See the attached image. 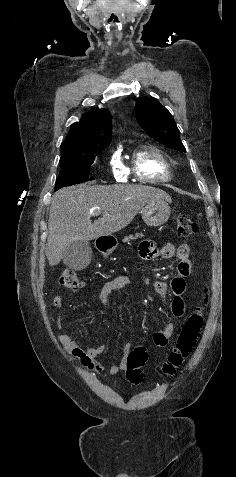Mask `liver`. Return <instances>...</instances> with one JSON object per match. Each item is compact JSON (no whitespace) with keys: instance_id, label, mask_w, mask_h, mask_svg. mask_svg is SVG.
<instances>
[{"instance_id":"6515ba94","label":"liver","mask_w":236,"mask_h":477,"mask_svg":"<svg viewBox=\"0 0 236 477\" xmlns=\"http://www.w3.org/2000/svg\"><path fill=\"white\" fill-rule=\"evenodd\" d=\"M170 196L144 185H78L64 188L52 197L46 257L50 266L60 263L65 248L74 241L110 236L128 226L148 203ZM102 216L91 221L90 212Z\"/></svg>"}]
</instances>
